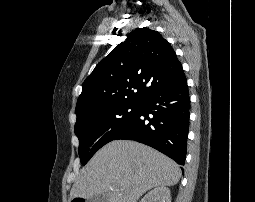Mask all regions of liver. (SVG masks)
<instances>
[{"label":"liver","instance_id":"6515ba94","mask_svg":"<svg viewBox=\"0 0 255 202\" xmlns=\"http://www.w3.org/2000/svg\"><path fill=\"white\" fill-rule=\"evenodd\" d=\"M179 166L169 157L141 143L114 140L102 147L82 169L71 189V199L89 200L106 194L108 202H137L154 187L173 186Z\"/></svg>","mask_w":255,"mask_h":202}]
</instances>
